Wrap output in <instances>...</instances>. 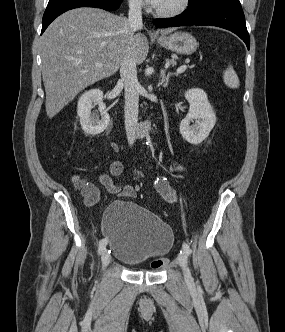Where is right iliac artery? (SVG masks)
I'll return each mask as SVG.
<instances>
[{"instance_id":"right-iliac-artery-1","label":"right iliac artery","mask_w":285,"mask_h":332,"mask_svg":"<svg viewBox=\"0 0 285 332\" xmlns=\"http://www.w3.org/2000/svg\"><path fill=\"white\" fill-rule=\"evenodd\" d=\"M106 244H107V242H106V240H104V239H101V240L99 241V247H98V253H99V254H101L102 251L105 249Z\"/></svg>"}]
</instances>
